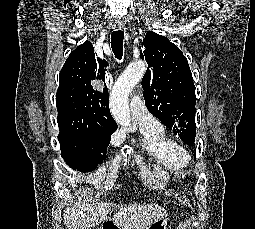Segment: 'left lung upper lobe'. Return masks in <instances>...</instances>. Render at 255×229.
Returning a JSON list of instances; mask_svg holds the SVG:
<instances>
[{"instance_id": "1", "label": "left lung upper lobe", "mask_w": 255, "mask_h": 229, "mask_svg": "<svg viewBox=\"0 0 255 229\" xmlns=\"http://www.w3.org/2000/svg\"><path fill=\"white\" fill-rule=\"evenodd\" d=\"M140 57L149 69L142 79L149 112L190 145L195 141V86L187 59L167 37L148 31Z\"/></svg>"}]
</instances>
